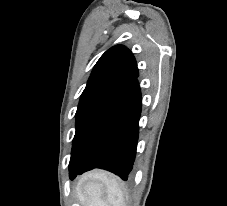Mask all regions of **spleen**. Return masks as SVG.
<instances>
[{
    "instance_id": "1",
    "label": "spleen",
    "mask_w": 227,
    "mask_h": 206,
    "mask_svg": "<svg viewBox=\"0 0 227 206\" xmlns=\"http://www.w3.org/2000/svg\"><path fill=\"white\" fill-rule=\"evenodd\" d=\"M95 177L101 183H84V194L77 188L79 200L86 206H124L125 194L117 181L105 173H96Z\"/></svg>"
}]
</instances>
